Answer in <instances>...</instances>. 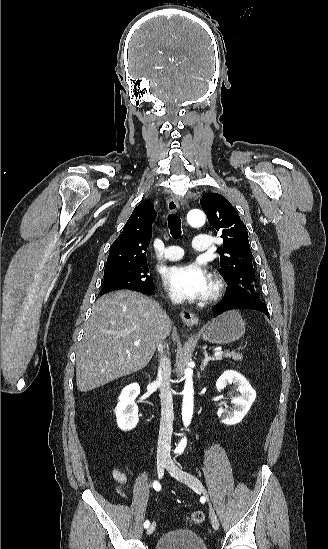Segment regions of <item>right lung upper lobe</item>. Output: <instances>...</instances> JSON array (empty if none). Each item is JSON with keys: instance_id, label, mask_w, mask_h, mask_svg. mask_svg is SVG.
<instances>
[{"instance_id": "cb5924a9", "label": "right lung upper lobe", "mask_w": 328, "mask_h": 549, "mask_svg": "<svg viewBox=\"0 0 328 549\" xmlns=\"http://www.w3.org/2000/svg\"><path fill=\"white\" fill-rule=\"evenodd\" d=\"M155 218L156 212L150 201L135 207L122 233L110 247L105 271L147 263L146 252Z\"/></svg>"}]
</instances>
